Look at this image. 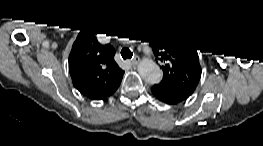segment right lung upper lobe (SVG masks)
I'll use <instances>...</instances> for the list:
<instances>
[{
  "mask_svg": "<svg viewBox=\"0 0 263 146\" xmlns=\"http://www.w3.org/2000/svg\"><path fill=\"white\" fill-rule=\"evenodd\" d=\"M95 30L86 26L80 31L69 55V72L74 87L82 95L103 100L117 90L124 71L114 60V48L101 45Z\"/></svg>",
  "mask_w": 263,
  "mask_h": 146,
  "instance_id": "cb5924a9",
  "label": "right lung upper lobe"
}]
</instances>
